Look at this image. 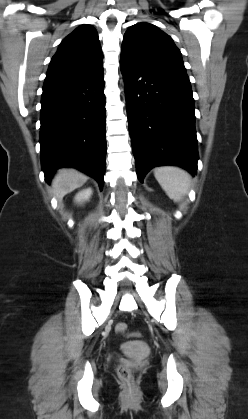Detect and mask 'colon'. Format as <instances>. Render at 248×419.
I'll use <instances>...</instances> for the list:
<instances>
[{
  "instance_id": "obj_1",
  "label": "colon",
  "mask_w": 248,
  "mask_h": 419,
  "mask_svg": "<svg viewBox=\"0 0 248 419\" xmlns=\"http://www.w3.org/2000/svg\"><path fill=\"white\" fill-rule=\"evenodd\" d=\"M126 331H127V324L126 323H119V324H117V326H116V332L118 334H124V333H126ZM117 371H118L119 376L128 385H131L132 384V382H133V376H132L129 368L125 364H123V363L119 364L118 365V368H117Z\"/></svg>"
}]
</instances>
